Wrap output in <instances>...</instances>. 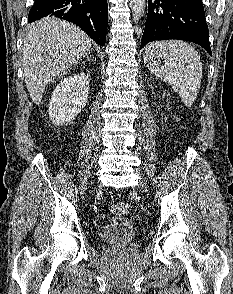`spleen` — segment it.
I'll return each mask as SVG.
<instances>
[{
	"label": "spleen",
	"mask_w": 233,
	"mask_h": 294,
	"mask_svg": "<svg viewBox=\"0 0 233 294\" xmlns=\"http://www.w3.org/2000/svg\"><path fill=\"white\" fill-rule=\"evenodd\" d=\"M143 60L156 77L178 93L185 106H192L200 89L203 70L194 47L180 40L155 41L145 47Z\"/></svg>",
	"instance_id": "3e777b00"
}]
</instances>
